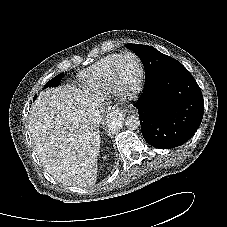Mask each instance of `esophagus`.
Returning a JSON list of instances; mask_svg holds the SVG:
<instances>
[{"mask_svg": "<svg viewBox=\"0 0 227 227\" xmlns=\"http://www.w3.org/2000/svg\"><path fill=\"white\" fill-rule=\"evenodd\" d=\"M110 109H111V111H113L112 113H116V114L121 115V114H120V113H121V110H120L118 107L113 106V107H111Z\"/></svg>", "mask_w": 227, "mask_h": 227, "instance_id": "34e87169", "label": "esophagus"}]
</instances>
